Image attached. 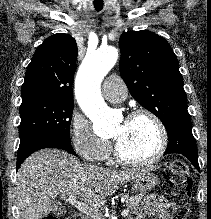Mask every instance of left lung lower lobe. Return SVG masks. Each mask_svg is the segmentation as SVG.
<instances>
[{
	"label": "left lung lower lobe",
	"instance_id": "1",
	"mask_svg": "<svg viewBox=\"0 0 211 219\" xmlns=\"http://www.w3.org/2000/svg\"><path fill=\"white\" fill-rule=\"evenodd\" d=\"M169 142L164 153H178L184 155L200 171L196 140L191 131V120L179 121L168 130Z\"/></svg>",
	"mask_w": 211,
	"mask_h": 219
}]
</instances>
